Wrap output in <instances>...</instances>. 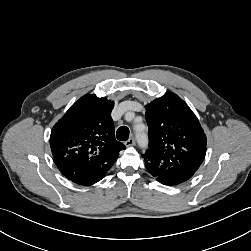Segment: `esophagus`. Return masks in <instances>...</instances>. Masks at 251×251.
<instances>
[{
	"mask_svg": "<svg viewBox=\"0 0 251 251\" xmlns=\"http://www.w3.org/2000/svg\"><path fill=\"white\" fill-rule=\"evenodd\" d=\"M125 145L127 147L134 146L135 145V138H133V137L129 138L127 141H125Z\"/></svg>",
	"mask_w": 251,
	"mask_h": 251,
	"instance_id": "esophagus-1",
	"label": "esophagus"
}]
</instances>
